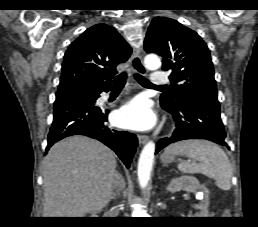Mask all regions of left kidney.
Masks as SVG:
<instances>
[{"instance_id": "5707ae66", "label": "left kidney", "mask_w": 258, "mask_h": 227, "mask_svg": "<svg viewBox=\"0 0 258 227\" xmlns=\"http://www.w3.org/2000/svg\"><path fill=\"white\" fill-rule=\"evenodd\" d=\"M167 190L171 193H175L180 190L195 193L196 197L201 201L199 204L195 205V208L198 210V212L195 213L194 217L209 216V191L204 185L199 183L197 178L193 176H181L173 178L167 185Z\"/></svg>"}]
</instances>
